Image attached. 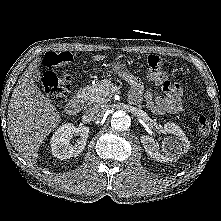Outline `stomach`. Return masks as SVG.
Wrapping results in <instances>:
<instances>
[{
    "label": "stomach",
    "instance_id": "1",
    "mask_svg": "<svg viewBox=\"0 0 221 221\" xmlns=\"http://www.w3.org/2000/svg\"><path fill=\"white\" fill-rule=\"evenodd\" d=\"M125 67H126V64L124 62L118 61L113 64V70L117 73H120Z\"/></svg>",
    "mask_w": 221,
    "mask_h": 221
}]
</instances>
